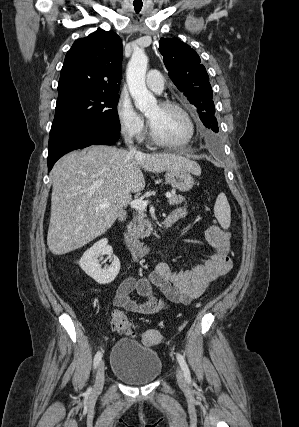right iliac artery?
Wrapping results in <instances>:
<instances>
[{"instance_id": "obj_1", "label": "right iliac artery", "mask_w": 299, "mask_h": 427, "mask_svg": "<svg viewBox=\"0 0 299 427\" xmlns=\"http://www.w3.org/2000/svg\"><path fill=\"white\" fill-rule=\"evenodd\" d=\"M101 358H102V353L99 351V352H97V353H96V355H95V357H94V364H93L94 369H96V368H97V366H98V364H99V362H100Z\"/></svg>"}]
</instances>
